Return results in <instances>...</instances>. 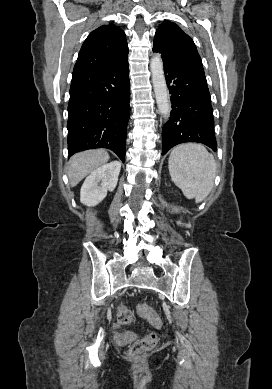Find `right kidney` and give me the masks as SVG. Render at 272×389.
<instances>
[{
  "label": "right kidney",
  "mask_w": 272,
  "mask_h": 389,
  "mask_svg": "<svg viewBox=\"0 0 272 389\" xmlns=\"http://www.w3.org/2000/svg\"><path fill=\"white\" fill-rule=\"evenodd\" d=\"M121 163L112 161L93 171L84 181L80 191V201L86 206L99 204L113 191L118 182Z\"/></svg>",
  "instance_id": "right-kidney-1"
}]
</instances>
